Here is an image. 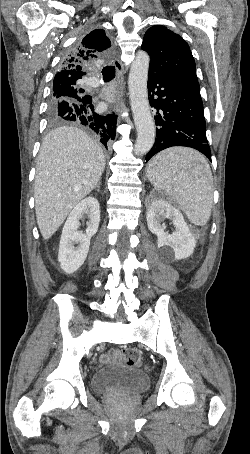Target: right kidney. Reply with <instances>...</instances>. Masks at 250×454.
<instances>
[{"instance_id":"right-kidney-1","label":"right kidney","mask_w":250,"mask_h":454,"mask_svg":"<svg viewBox=\"0 0 250 454\" xmlns=\"http://www.w3.org/2000/svg\"><path fill=\"white\" fill-rule=\"evenodd\" d=\"M84 214L89 218L85 234L78 231L79 220ZM99 222L100 207L94 197L83 199L70 212L62 230L58 253V261L65 273L71 274L82 266L89 251L91 237L96 234ZM75 243H79L77 248L74 247Z\"/></svg>"}]
</instances>
